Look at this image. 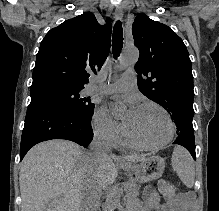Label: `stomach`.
Returning <instances> with one entry per match:
<instances>
[{"instance_id": "stomach-1", "label": "stomach", "mask_w": 219, "mask_h": 211, "mask_svg": "<svg viewBox=\"0 0 219 211\" xmlns=\"http://www.w3.org/2000/svg\"><path fill=\"white\" fill-rule=\"evenodd\" d=\"M127 171H133L140 183H147L160 178L165 169V161L162 157L152 155L144 160L122 165Z\"/></svg>"}]
</instances>
